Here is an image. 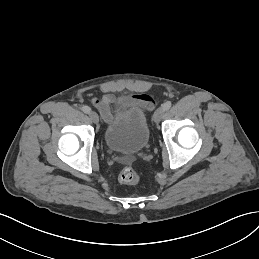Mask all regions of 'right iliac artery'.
Segmentation results:
<instances>
[{
	"label": "right iliac artery",
	"instance_id": "right-iliac-artery-1",
	"mask_svg": "<svg viewBox=\"0 0 259 259\" xmlns=\"http://www.w3.org/2000/svg\"><path fill=\"white\" fill-rule=\"evenodd\" d=\"M82 111L84 113H89L90 112V108L88 106L84 105V106H82Z\"/></svg>",
	"mask_w": 259,
	"mask_h": 259
}]
</instances>
